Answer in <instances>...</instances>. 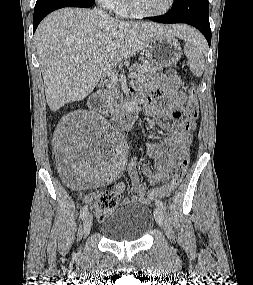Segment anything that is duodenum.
I'll return each mask as SVG.
<instances>
[{
	"instance_id": "410a0bca",
	"label": "duodenum",
	"mask_w": 253,
	"mask_h": 285,
	"mask_svg": "<svg viewBox=\"0 0 253 285\" xmlns=\"http://www.w3.org/2000/svg\"><path fill=\"white\" fill-rule=\"evenodd\" d=\"M88 105L94 111L101 110L104 106L101 95L95 93L90 96ZM112 115L113 119L124 129L130 128L137 120L136 111L131 102H126L116 108Z\"/></svg>"
}]
</instances>
